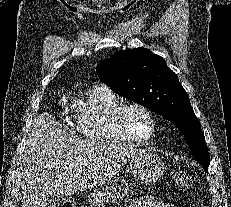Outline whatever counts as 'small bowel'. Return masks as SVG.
Instances as JSON below:
<instances>
[{
  "label": "small bowel",
  "instance_id": "obj_1",
  "mask_svg": "<svg viewBox=\"0 0 231 207\" xmlns=\"http://www.w3.org/2000/svg\"><path fill=\"white\" fill-rule=\"evenodd\" d=\"M127 207H176V205L165 202L156 196L148 195L131 201Z\"/></svg>",
  "mask_w": 231,
  "mask_h": 207
}]
</instances>
